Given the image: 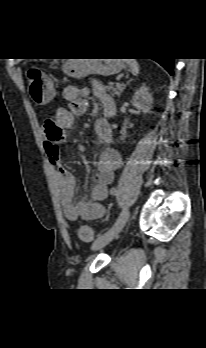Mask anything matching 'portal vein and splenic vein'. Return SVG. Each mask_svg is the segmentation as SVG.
Masks as SVG:
<instances>
[{"mask_svg": "<svg viewBox=\"0 0 206 348\" xmlns=\"http://www.w3.org/2000/svg\"><path fill=\"white\" fill-rule=\"evenodd\" d=\"M121 83H116V87H121Z\"/></svg>", "mask_w": 206, "mask_h": 348, "instance_id": "portal-vein-and-splenic-vein-1", "label": "portal vein and splenic vein"}]
</instances>
